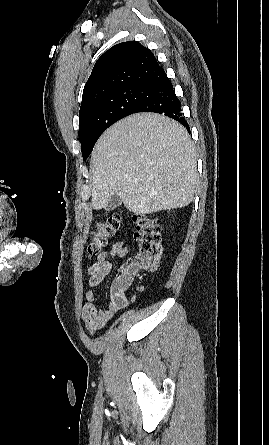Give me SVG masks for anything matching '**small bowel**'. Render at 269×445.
<instances>
[{"mask_svg":"<svg viewBox=\"0 0 269 445\" xmlns=\"http://www.w3.org/2000/svg\"><path fill=\"white\" fill-rule=\"evenodd\" d=\"M129 249L123 242H116L109 252H100L96 262L87 268L88 291L86 293L87 302L82 309V318L85 328L90 335H94L97 330L102 329L122 308L128 304L125 293L121 294V301L117 294L111 289L110 299L105 307L101 306L96 298L95 289L109 275L112 269L110 258H124L128 255Z\"/></svg>","mask_w":269,"mask_h":445,"instance_id":"1","label":"small bowel"}]
</instances>
